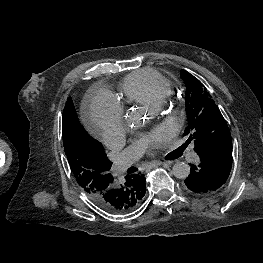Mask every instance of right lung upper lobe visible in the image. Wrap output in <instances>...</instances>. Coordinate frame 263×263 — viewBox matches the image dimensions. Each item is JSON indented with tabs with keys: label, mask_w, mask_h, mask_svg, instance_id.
I'll list each match as a JSON object with an SVG mask.
<instances>
[{
	"label": "right lung upper lobe",
	"mask_w": 263,
	"mask_h": 263,
	"mask_svg": "<svg viewBox=\"0 0 263 263\" xmlns=\"http://www.w3.org/2000/svg\"><path fill=\"white\" fill-rule=\"evenodd\" d=\"M129 195L127 202L119 208L116 213H125L135 209L145 195V186L140 184L128 185Z\"/></svg>",
	"instance_id": "cb5924a9"
}]
</instances>
